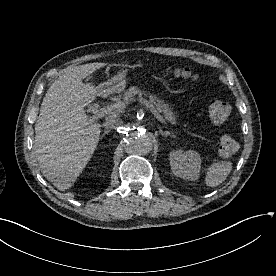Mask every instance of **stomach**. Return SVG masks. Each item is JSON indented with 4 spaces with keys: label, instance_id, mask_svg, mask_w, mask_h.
I'll use <instances>...</instances> for the list:
<instances>
[{
    "label": "stomach",
    "instance_id": "1",
    "mask_svg": "<svg viewBox=\"0 0 276 276\" xmlns=\"http://www.w3.org/2000/svg\"><path fill=\"white\" fill-rule=\"evenodd\" d=\"M128 71L127 68H122L114 77L97 86L96 89L99 95L105 96L122 92L126 87Z\"/></svg>",
    "mask_w": 276,
    "mask_h": 276
}]
</instances>
